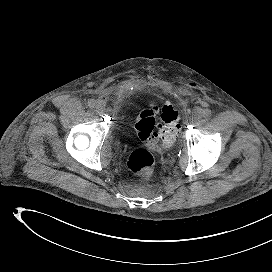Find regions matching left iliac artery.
<instances>
[{
    "label": "left iliac artery",
    "mask_w": 272,
    "mask_h": 272,
    "mask_svg": "<svg viewBox=\"0 0 272 272\" xmlns=\"http://www.w3.org/2000/svg\"><path fill=\"white\" fill-rule=\"evenodd\" d=\"M202 114L204 117H209L211 115V109L209 108L204 109Z\"/></svg>",
    "instance_id": "1"
}]
</instances>
